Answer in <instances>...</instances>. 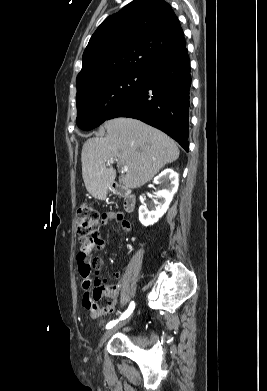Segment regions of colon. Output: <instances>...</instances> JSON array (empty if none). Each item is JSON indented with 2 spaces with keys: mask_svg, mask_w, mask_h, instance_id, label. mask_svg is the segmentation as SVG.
<instances>
[{
  "mask_svg": "<svg viewBox=\"0 0 267 391\" xmlns=\"http://www.w3.org/2000/svg\"><path fill=\"white\" fill-rule=\"evenodd\" d=\"M77 235L81 253H92L103 245L98 232L101 219L98 211L88 202H83L76 211Z\"/></svg>",
  "mask_w": 267,
  "mask_h": 391,
  "instance_id": "1",
  "label": "colon"
}]
</instances>
